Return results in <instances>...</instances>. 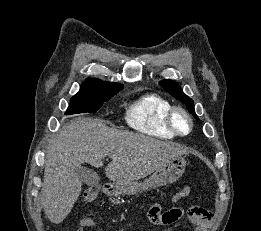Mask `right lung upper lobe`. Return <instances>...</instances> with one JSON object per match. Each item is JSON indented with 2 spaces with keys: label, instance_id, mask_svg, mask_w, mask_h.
<instances>
[{
  "label": "right lung upper lobe",
  "instance_id": "obj_1",
  "mask_svg": "<svg viewBox=\"0 0 261 231\" xmlns=\"http://www.w3.org/2000/svg\"><path fill=\"white\" fill-rule=\"evenodd\" d=\"M122 84L103 82L98 79H87L76 95H98L120 91Z\"/></svg>",
  "mask_w": 261,
  "mask_h": 231
}]
</instances>
